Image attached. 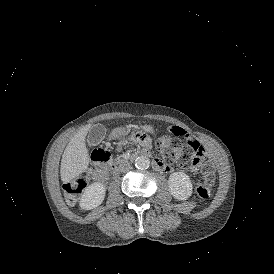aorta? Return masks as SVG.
Instances as JSON below:
<instances>
[{
    "mask_svg": "<svg viewBox=\"0 0 274 274\" xmlns=\"http://www.w3.org/2000/svg\"><path fill=\"white\" fill-rule=\"evenodd\" d=\"M150 165V160L145 156H139L135 159V166L138 169H147Z\"/></svg>",
    "mask_w": 274,
    "mask_h": 274,
    "instance_id": "obj_1",
    "label": "aorta"
}]
</instances>
